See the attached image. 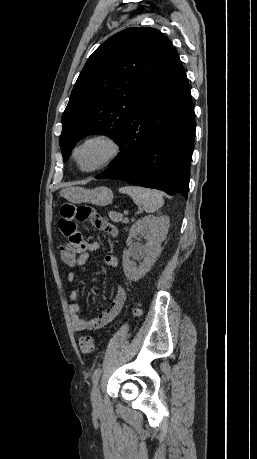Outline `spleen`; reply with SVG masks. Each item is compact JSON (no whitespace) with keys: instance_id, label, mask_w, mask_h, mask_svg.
Returning <instances> with one entry per match:
<instances>
[{"instance_id":"3e777b00","label":"spleen","mask_w":257,"mask_h":459,"mask_svg":"<svg viewBox=\"0 0 257 459\" xmlns=\"http://www.w3.org/2000/svg\"><path fill=\"white\" fill-rule=\"evenodd\" d=\"M120 192L128 194L136 205H141L147 213L157 211L164 204L163 196L156 190L139 186H125Z\"/></svg>"}]
</instances>
